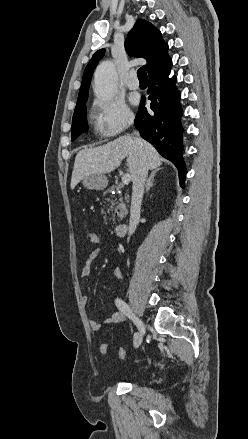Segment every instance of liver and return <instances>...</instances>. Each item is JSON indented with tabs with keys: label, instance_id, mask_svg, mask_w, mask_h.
Segmentation results:
<instances>
[{
	"label": "liver",
	"instance_id": "1",
	"mask_svg": "<svg viewBox=\"0 0 248 439\" xmlns=\"http://www.w3.org/2000/svg\"><path fill=\"white\" fill-rule=\"evenodd\" d=\"M141 143L142 148L135 138L122 136L103 146L80 150L74 162L71 189L89 175L114 171L125 157L131 178L138 168L142 155H145L149 169H158L162 164V157L150 143L143 140Z\"/></svg>",
	"mask_w": 248,
	"mask_h": 439
}]
</instances>
